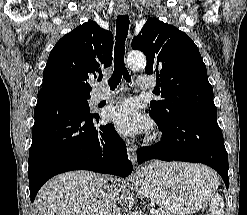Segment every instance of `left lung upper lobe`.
I'll return each mask as SVG.
<instances>
[{
    "label": "left lung upper lobe",
    "mask_w": 247,
    "mask_h": 215,
    "mask_svg": "<svg viewBox=\"0 0 247 215\" xmlns=\"http://www.w3.org/2000/svg\"><path fill=\"white\" fill-rule=\"evenodd\" d=\"M131 46L146 55L145 73L156 74L157 94L163 100L151 101L155 113L168 120L180 113L217 114L206 66L188 35L149 18Z\"/></svg>",
    "instance_id": "left-lung-upper-lobe-1"
}]
</instances>
